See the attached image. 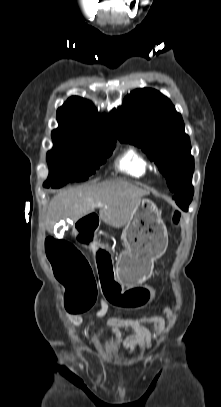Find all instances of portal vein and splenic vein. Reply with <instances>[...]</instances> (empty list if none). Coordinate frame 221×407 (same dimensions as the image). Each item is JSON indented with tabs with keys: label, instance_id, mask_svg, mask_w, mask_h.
<instances>
[{
	"label": "portal vein and splenic vein",
	"instance_id": "1",
	"mask_svg": "<svg viewBox=\"0 0 221 407\" xmlns=\"http://www.w3.org/2000/svg\"><path fill=\"white\" fill-rule=\"evenodd\" d=\"M97 206H98V207H102L103 204H102L101 202H98V203H97Z\"/></svg>",
	"mask_w": 221,
	"mask_h": 407
}]
</instances>
